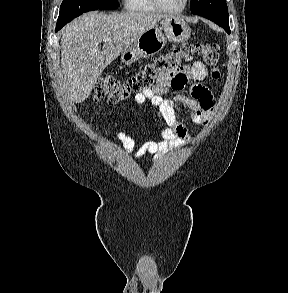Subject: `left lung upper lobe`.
Listing matches in <instances>:
<instances>
[{
	"label": "left lung upper lobe",
	"mask_w": 288,
	"mask_h": 293,
	"mask_svg": "<svg viewBox=\"0 0 288 293\" xmlns=\"http://www.w3.org/2000/svg\"><path fill=\"white\" fill-rule=\"evenodd\" d=\"M191 12L214 21L223 28H229V14L225 0H191Z\"/></svg>",
	"instance_id": "left-lung-upper-lobe-1"
}]
</instances>
